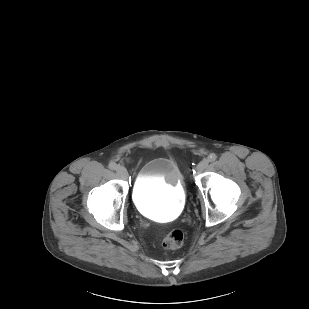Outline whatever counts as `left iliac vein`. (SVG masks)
Masks as SVG:
<instances>
[{"mask_svg": "<svg viewBox=\"0 0 309 309\" xmlns=\"http://www.w3.org/2000/svg\"><path fill=\"white\" fill-rule=\"evenodd\" d=\"M208 166V159H203L197 166V172L201 173Z\"/></svg>", "mask_w": 309, "mask_h": 309, "instance_id": "1", "label": "left iliac vein"}]
</instances>
